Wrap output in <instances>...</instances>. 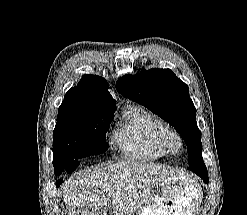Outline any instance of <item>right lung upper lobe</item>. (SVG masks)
I'll return each mask as SVG.
<instances>
[{
    "instance_id": "cb5924a9",
    "label": "right lung upper lobe",
    "mask_w": 247,
    "mask_h": 215,
    "mask_svg": "<svg viewBox=\"0 0 247 215\" xmlns=\"http://www.w3.org/2000/svg\"><path fill=\"white\" fill-rule=\"evenodd\" d=\"M107 81L96 75H84L77 86L66 94L78 98L83 103L102 109L114 110L116 101L108 92Z\"/></svg>"
}]
</instances>
